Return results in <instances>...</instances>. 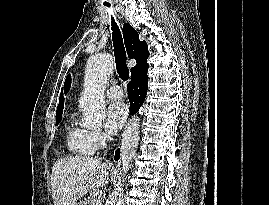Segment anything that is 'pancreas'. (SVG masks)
Listing matches in <instances>:
<instances>
[{
  "instance_id": "1",
  "label": "pancreas",
  "mask_w": 269,
  "mask_h": 205,
  "mask_svg": "<svg viewBox=\"0 0 269 205\" xmlns=\"http://www.w3.org/2000/svg\"><path fill=\"white\" fill-rule=\"evenodd\" d=\"M97 198L95 196V190H91L87 198L84 199V205H95Z\"/></svg>"
}]
</instances>
